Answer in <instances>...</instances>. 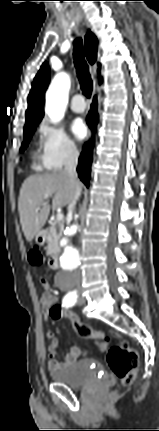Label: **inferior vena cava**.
<instances>
[{
	"label": "inferior vena cava",
	"instance_id": "1",
	"mask_svg": "<svg viewBox=\"0 0 159 431\" xmlns=\"http://www.w3.org/2000/svg\"><path fill=\"white\" fill-rule=\"evenodd\" d=\"M78 157H79V152H78L77 148L75 146L68 147L67 153H66V158H65V163H64L65 168H64L63 173L72 180L77 179L76 167L78 164ZM80 194H81V188L76 187L74 198H73L72 202L68 205V214L69 215H72L74 206H75L76 201L79 198ZM74 279H75L77 285L79 286L80 281H81V273L79 271H77L75 273Z\"/></svg>",
	"mask_w": 159,
	"mask_h": 431
}]
</instances>
